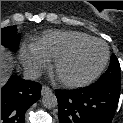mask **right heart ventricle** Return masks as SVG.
<instances>
[{
	"mask_svg": "<svg viewBox=\"0 0 123 123\" xmlns=\"http://www.w3.org/2000/svg\"><path fill=\"white\" fill-rule=\"evenodd\" d=\"M90 38L92 37L78 31L52 30L45 32L41 37L34 40L31 48L50 61L55 60L73 44Z\"/></svg>",
	"mask_w": 123,
	"mask_h": 123,
	"instance_id": "obj_1",
	"label": "right heart ventricle"
}]
</instances>
